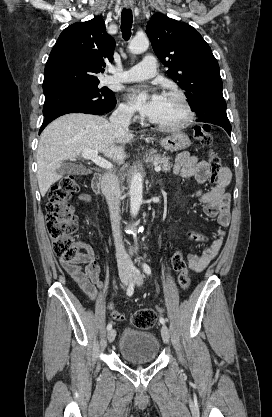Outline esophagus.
<instances>
[{"label": "esophagus", "instance_id": "34e87169", "mask_svg": "<svg viewBox=\"0 0 272 417\" xmlns=\"http://www.w3.org/2000/svg\"><path fill=\"white\" fill-rule=\"evenodd\" d=\"M133 5L132 4H130V3H127V4H125V7L126 8H131Z\"/></svg>", "mask_w": 272, "mask_h": 417}]
</instances>
